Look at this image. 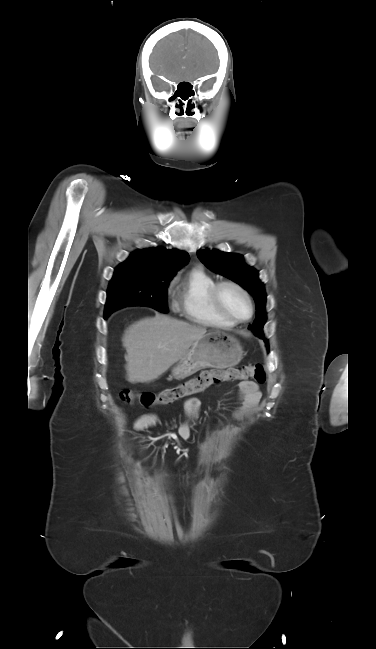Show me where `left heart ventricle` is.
<instances>
[{
	"instance_id": "left-heart-ventricle-1",
	"label": "left heart ventricle",
	"mask_w": 376,
	"mask_h": 649,
	"mask_svg": "<svg viewBox=\"0 0 376 649\" xmlns=\"http://www.w3.org/2000/svg\"><path fill=\"white\" fill-rule=\"evenodd\" d=\"M222 298L228 311L238 318H245L249 314V306L244 297L235 289L227 287L222 291Z\"/></svg>"
}]
</instances>
